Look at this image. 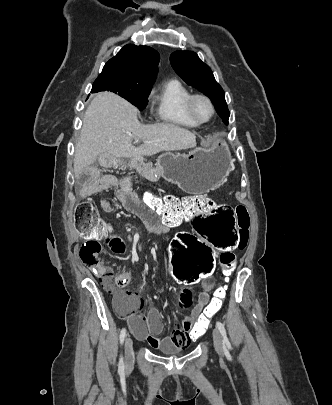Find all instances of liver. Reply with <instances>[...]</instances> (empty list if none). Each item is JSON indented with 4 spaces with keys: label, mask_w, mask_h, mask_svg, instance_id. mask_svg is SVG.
Returning <instances> with one entry per match:
<instances>
[{
    "label": "liver",
    "mask_w": 332,
    "mask_h": 405,
    "mask_svg": "<svg viewBox=\"0 0 332 405\" xmlns=\"http://www.w3.org/2000/svg\"><path fill=\"white\" fill-rule=\"evenodd\" d=\"M143 144L133 146V140ZM192 132L174 124L142 125L137 109L111 92L97 93L85 111L83 126L74 155L78 177L97 157L106 167L119 164L120 158L153 156L161 151L184 150L196 146Z\"/></svg>",
    "instance_id": "6515ba94"
}]
</instances>
